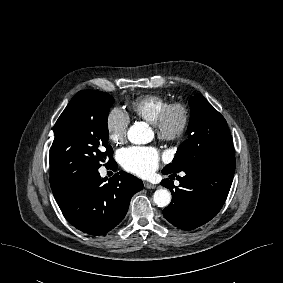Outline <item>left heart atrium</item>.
I'll use <instances>...</instances> for the list:
<instances>
[{"instance_id":"left-heart-atrium-1","label":"left heart atrium","mask_w":283,"mask_h":283,"mask_svg":"<svg viewBox=\"0 0 283 283\" xmlns=\"http://www.w3.org/2000/svg\"><path fill=\"white\" fill-rule=\"evenodd\" d=\"M160 158V152L152 146H131L119 153L122 167L140 177L151 175L158 168Z\"/></svg>"}]
</instances>
